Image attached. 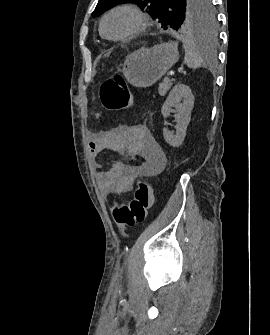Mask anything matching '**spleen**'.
I'll list each match as a JSON object with an SVG mask.
<instances>
[{
	"label": "spleen",
	"mask_w": 270,
	"mask_h": 335,
	"mask_svg": "<svg viewBox=\"0 0 270 335\" xmlns=\"http://www.w3.org/2000/svg\"><path fill=\"white\" fill-rule=\"evenodd\" d=\"M183 42L185 48V62L188 68H200L203 66L204 62H209L210 54L202 50V46H197V44H190L186 38H180ZM207 50V48H206Z\"/></svg>",
	"instance_id": "3e777b00"
}]
</instances>
